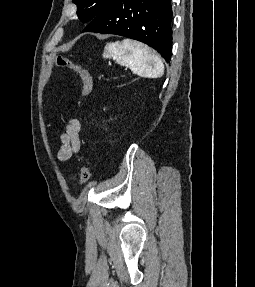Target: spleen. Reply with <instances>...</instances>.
<instances>
[{"instance_id":"spleen-1","label":"spleen","mask_w":255,"mask_h":287,"mask_svg":"<svg viewBox=\"0 0 255 287\" xmlns=\"http://www.w3.org/2000/svg\"><path fill=\"white\" fill-rule=\"evenodd\" d=\"M104 58H116L120 64L129 62L133 72L141 78H161L164 74V66L156 52L133 40H123L105 46Z\"/></svg>"}]
</instances>
